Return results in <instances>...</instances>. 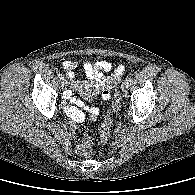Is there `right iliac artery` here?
<instances>
[{
	"label": "right iliac artery",
	"mask_w": 195,
	"mask_h": 195,
	"mask_svg": "<svg viewBox=\"0 0 195 195\" xmlns=\"http://www.w3.org/2000/svg\"><path fill=\"white\" fill-rule=\"evenodd\" d=\"M58 77L61 79L62 78V74L61 73H58Z\"/></svg>",
	"instance_id": "82829eb1"
}]
</instances>
